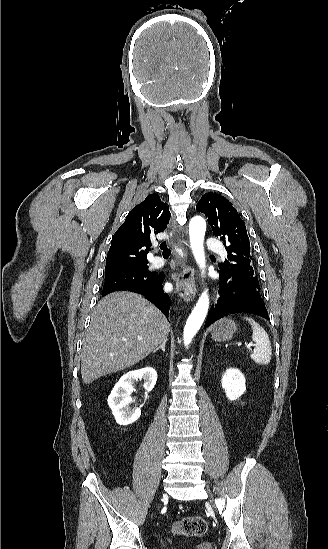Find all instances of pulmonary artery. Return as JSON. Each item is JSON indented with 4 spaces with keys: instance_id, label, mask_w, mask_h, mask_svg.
Returning <instances> with one entry per match:
<instances>
[{
    "instance_id": "e3ab8cb5",
    "label": "pulmonary artery",
    "mask_w": 328,
    "mask_h": 549,
    "mask_svg": "<svg viewBox=\"0 0 328 549\" xmlns=\"http://www.w3.org/2000/svg\"><path fill=\"white\" fill-rule=\"evenodd\" d=\"M207 248L210 252H217L220 248V245L217 241H210L207 245ZM163 265V260L158 256H151L149 258V266L151 268H159Z\"/></svg>"
}]
</instances>
